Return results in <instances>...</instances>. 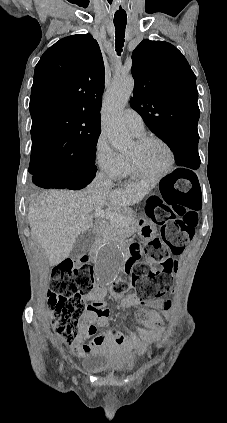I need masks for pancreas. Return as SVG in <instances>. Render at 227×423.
Listing matches in <instances>:
<instances>
[{
    "label": "pancreas",
    "mask_w": 227,
    "mask_h": 423,
    "mask_svg": "<svg viewBox=\"0 0 227 423\" xmlns=\"http://www.w3.org/2000/svg\"><path fill=\"white\" fill-rule=\"evenodd\" d=\"M118 213H122L125 217H130V221H115V219H111V221H103L100 223V231L102 233V241H108V239H115V241H121L124 237H129L135 231H138V219H134L127 210H117Z\"/></svg>",
    "instance_id": "pancreas-1"
}]
</instances>
